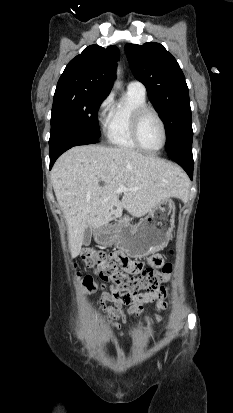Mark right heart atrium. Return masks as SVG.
I'll return each instance as SVG.
<instances>
[{"label": "right heart atrium", "mask_w": 233, "mask_h": 413, "mask_svg": "<svg viewBox=\"0 0 233 413\" xmlns=\"http://www.w3.org/2000/svg\"><path fill=\"white\" fill-rule=\"evenodd\" d=\"M112 107V95H106L98 104L97 107V119L100 122H106L107 117Z\"/></svg>", "instance_id": "right-heart-atrium-1"}]
</instances>
